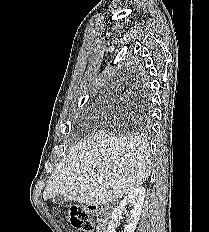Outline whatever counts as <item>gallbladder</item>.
<instances>
[{
  "label": "gallbladder",
  "mask_w": 209,
  "mask_h": 232,
  "mask_svg": "<svg viewBox=\"0 0 209 232\" xmlns=\"http://www.w3.org/2000/svg\"><path fill=\"white\" fill-rule=\"evenodd\" d=\"M66 201V198L62 195H56L54 198H53V202L57 205H61L63 204L64 202Z\"/></svg>",
  "instance_id": "1"
}]
</instances>
